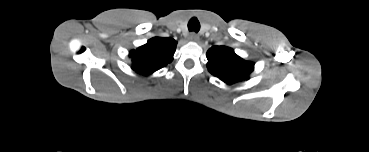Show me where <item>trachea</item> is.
Instances as JSON below:
<instances>
[{
  "instance_id": "3493384b",
  "label": "trachea",
  "mask_w": 369,
  "mask_h": 152,
  "mask_svg": "<svg viewBox=\"0 0 369 152\" xmlns=\"http://www.w3.org/2000/svg\"><path fill=\"white\" fill-rule=\"evenodd\" d=\"M189 31L198 32L200 30V23L197 18L193 17L188 23Z\"/></svg>"
}]
</instances>
